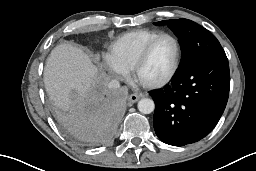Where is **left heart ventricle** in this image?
I'll return each instance as SVG.
<instances>
[{
	"label": "left heart ventricle",
	"instance_id": "1",
	"mask_svg": "<svg viewBox=\"0 0 256 171\" xmlns=\"http://www.w3.org/2000/svg\"><path fill=\"white\" fill-rule=\"evenodd\" d=\"M176 48L172 39L163 38L153 48L148 60L140 70L142 81L153 82L162 79L170 71Z\"/></svg>",
	"mask_w": 256,
	"mask_h": 171
}]
</instances>
